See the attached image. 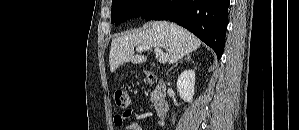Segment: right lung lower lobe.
Masks as SVG:
<instances>
[{
	"label": "right lung lower lobe",
	"instance_id": "1",
	"mask_svg": "<svg viewBox=\"0 0 299 130\" xmlns=\"http://www.w3.org/2000/svg\"><path fill=\"white\" fill-rule=\"evenodd\" d=\"M230 0H157L140 15L148 20H170L194 33L220 59L225 46Z\"/></svg>",
	"mask_w": 299,
	"mask_h": 130
}]
</instances>
